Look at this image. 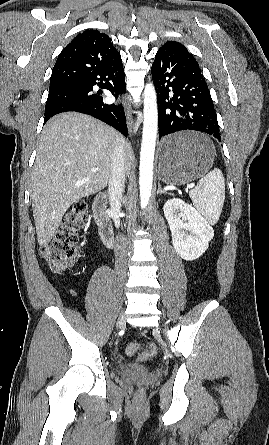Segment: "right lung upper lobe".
<instances>
[{
    "label": "right lung upper lobe",
    "instance_id": "1",
    "mask_svg": "<svg viewBox=\"0 0 269 445\" xmlns=\"http://www.w3.org/2000/svg\"><path fill=\"white\" fill-rule=\"evenodd\" d=\"M121 58L109 36L97 30L79 33L59 54L50 88L79 84L87 75Z\"/></svg>",
    "mask_w": 269,
    "mask_h": 445
}]
</instances>
